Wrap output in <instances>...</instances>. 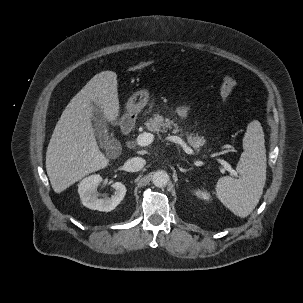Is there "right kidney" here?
Here are the masks:
<instances>
[{"instance_id": "ca27d5eb", "label": "right kidney", "mask_w": 303, "mask_h": 303, "mask_svg": "<svg viewBox=\"0 0 303 303\" xmlns=\"http://www.w3.org/2000/svg\"><path fill=\"white\" fill-rule=\"evenodd\" d=\"M102 182L100 175H91L83 179L78 185V193L82 204L92 210L109 212L114 210L123 200L126 187L121 182L112 184L114 194L111 197L98 198L97 188Z\"/></svg>"}]
</instances>
